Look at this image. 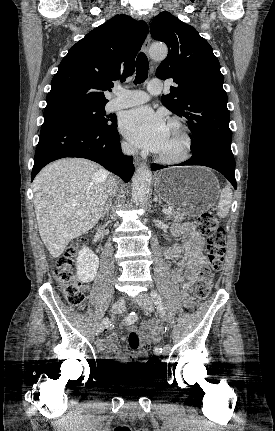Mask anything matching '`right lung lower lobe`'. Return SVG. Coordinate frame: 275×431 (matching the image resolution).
<instances>
[{
  "label": "right lung lower lobe",
  "instance_id": "98d812e1",
  "mask_svg": "<svg viewBox=\"0 0 275 431\" xmlns=\"http://www.w3.org/2000/svg\"><path fill=\"white\" fill-rule=\"evenodd\" d=\"M80 157L95 161L128 182L133 173V157L121 152L117 119L111 126L93 127L72 120L44 121L34 157L31 181L48 163Z\"/></svg>",
  "mask_w": 275,
  "mask_h": 431
}]
</instances>
